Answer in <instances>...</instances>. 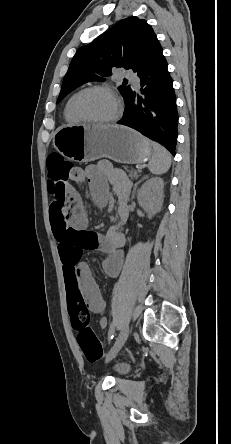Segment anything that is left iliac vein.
<instances>
[{
    "label": "left iliac vein",
    "mask_w": 231,
    "mask_h": 444,
    "mask_svg": "<svg viewBox=\"0 0 231 444\" xmlns=\"http://www.w3.org/2000/svg\"><path fill=\"white\" fill-rule=\"evenodd\" d=\"M129 325H125L122 330L120 331L113 347L110 349V351L106 355V361H110L112 358H114L117 353L120 351L124 343L126 342L128 335H129Z\"/></svg>",
    "instance_id": "4c4485c4"
}]
</instances>
